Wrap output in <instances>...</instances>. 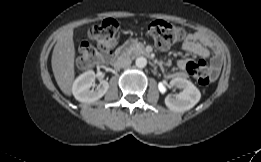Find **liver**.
Returning <instances> with one entry per match:
<instances>
[{"label":"liver","mask_w":261,"mask_h":162,"mask_svg":"<svg viewBox=\"0 0 261 162\" xmlns=\"http://www.w3.org/2000/svg\"><path fill=\"white\" fill-rule=\"evenodd\" d=\"M74 59L73 28H67L59 32L51 59L55 80L60 90L67 96L71 95L75 78Z\"/></svg>","instance_id":"6515ba94"}]
</instances>
